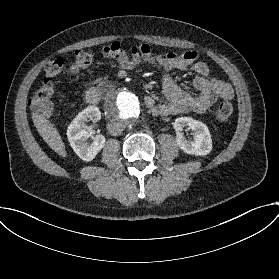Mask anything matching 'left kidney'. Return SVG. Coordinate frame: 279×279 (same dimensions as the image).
<instances>
[{
    "label": "left kidney",
    "instance_id": "left-kidney-1",
    "mask_svg": "<svg viewBox=\"0 0 279 279\" xmlns=\"http://www.w3.org/2000/svg\"><path fill=\"white\" fill-rule=\"evenodd\" d=\"M185 127L194 132L192 140H188L182 135ZM174 129L180 132L176 141L183 152L194 156H206L212 151L211 135L203 122L190 117H180L175 119Z\"/></svg>",
    "mask_w": 279,
    "mask_h": 279
}]
</instances>
